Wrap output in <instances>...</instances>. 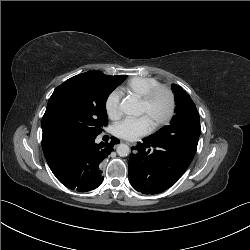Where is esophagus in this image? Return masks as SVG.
<instances>
[{
    "label": "esophagus",
    "instance_id": "obj_1",
    "mask_svg": "<svg viewBox=\"0 0 250 250\" xmlns=\"http://www.w3.org/2000/svg\"><path fill=\"white\" fill-rule=\"evenodd\" d=\"M126 144H128L129 146H132V145H133L132 143H129V142H126Z\"/></svg>",
    "mask_w": 250,
    "mask_h": 250
}]
</instances>
